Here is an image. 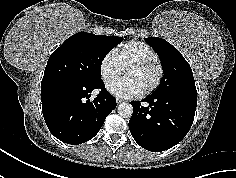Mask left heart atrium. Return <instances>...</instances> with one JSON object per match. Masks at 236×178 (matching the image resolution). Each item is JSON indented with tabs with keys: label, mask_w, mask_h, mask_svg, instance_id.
<instances>
[{
	"label": "left heart atrium",
	"mask_w": 236,
	"mask_h": 178,
	"mask_svg": "<svg viewBox=\"0 0 236 178\" xmlns=\"http://www.w3.org/2000/svg\"><path fill=\"white\" fill-rule=\"evenodd\" d=\"M110 93L121 98H130L141 94L140 87L129 78L116 80L107 85Z\"/></svg>",
	"instance_id": "39dd6f15"
}]
</instances>
